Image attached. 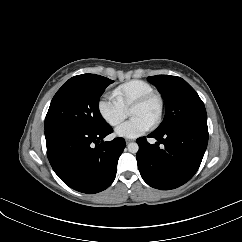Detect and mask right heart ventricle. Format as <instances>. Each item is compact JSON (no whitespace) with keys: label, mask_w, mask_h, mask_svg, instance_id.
I'll list each match as a JSON object with an SVG mask.
<instances>
[{"label":"right heart ventricle","mask_w":242,"mask_h":242,"mask_svg":"<svg viewBox=\"0 0 242 242\" xmlns=\"http://www.w3.org/2000/svg\"><path fill=\"white\" fill-rule=\"evenodd\" d=\"M151 92H154V89L148 82L131 80L117 87L113 95L128 110L137 99Z\"/></svg>","instance_id":"1"}]
</instances>
